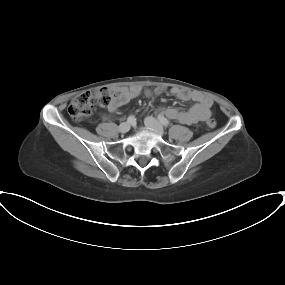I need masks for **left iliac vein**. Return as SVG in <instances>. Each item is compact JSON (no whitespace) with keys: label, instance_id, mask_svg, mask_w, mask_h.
Segmentation results:
<instances>
[{"label":"left iliac vein","instance_id":"4c4485c4","mask_svg":"<svg viewBox=\"0 0 285 285\" xmlns=\"http://www.w3.org/2000/svg\"><path fill=\"white\" fill-rule=\"evenodd\" d=\"M144 123L148 129L152 130L156 134L158 135L164 134V129L162 125L152 116L146 117Z\"/></svg>","mask_w":285,"mask_h":285}]
</instances>
